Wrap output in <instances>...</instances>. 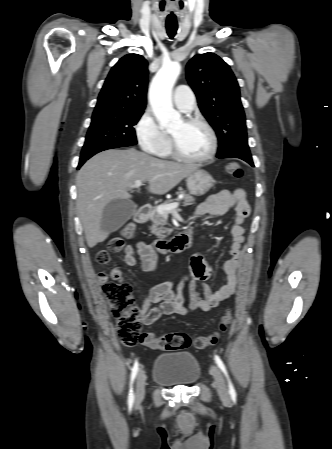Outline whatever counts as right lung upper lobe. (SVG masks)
<instances>
[{
    "instance_id": "1",
    "label": "right lung upper lobe",
    "mask_w": 332,
    "mask_h": 449,
    "mask_svg": "<svg viewBox=\"0 0 332 449\" xmlns=\"http://www.w3.org/2000/svg\"><path fill=\"white\" fill-rule=\"evenodd\" d=\"M145 58L127 54L111 69L98 96L93 114L144 111L148 83Z\"/></svg>"
}]
</instances>
